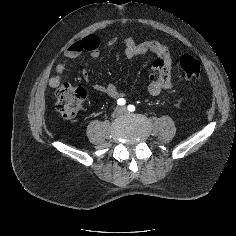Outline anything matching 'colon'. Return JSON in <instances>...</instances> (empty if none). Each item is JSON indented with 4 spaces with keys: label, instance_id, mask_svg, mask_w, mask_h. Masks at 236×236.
Here are the masks:
<instances>
[{
    "label": "colon",
    "instance_id": "colon-1",
    "mask_svg": "<svg viewBox=\"0 0 236 236\" xmlns=\"http://www.w3.org/2000/svg\"><path fill=\"white\" fill-rule=\"evenodd\" d=\"M180 74L185 79L199 77L201 65L199 61L191 56L184 55L179 61ZM86 93L82 88L62 84L57 88L56 110L66 120L73 119L78 113Z\"/></svg>",
    "mask_w": 236,
    "mask_h": 236
}]
</instances>
